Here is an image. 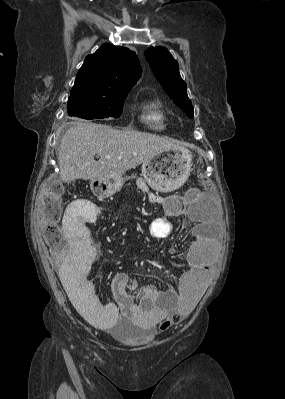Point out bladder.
I'll return each mask as SVG.
<instances>
[{"instance_id": "1", "label": "bladder", "mask_w": 285, "mask_h": 399, "mask_svg": "<svg viewBox=\"0 0 285 399\" xmlns=\"http://www.w3.org/2000/svg\"><path fill=\"white\" fill-rule=\"evenodd\" d=\"M112 333H114L113 330H112ZM130 335H131L130 338L123 339L126 343H128L130 345H136V346H144L145 345L146 333L137 332V333H130Z\"/></svg>"}]
</instances>
